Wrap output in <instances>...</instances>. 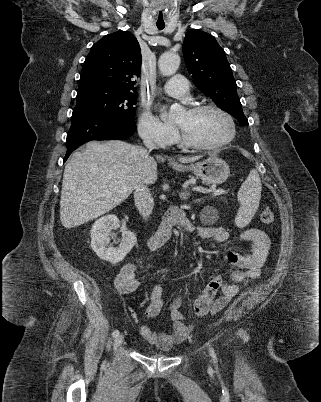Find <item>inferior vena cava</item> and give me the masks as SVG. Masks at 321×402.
Returning a JSON list of instances; mask_svg holds the SVG:
<instances>
[{"instance_id": "1", "label": "inferior vena cava", "mask_w": 321, "mask_h": 402, "mask_svg": "<svg viewBox=\"0 0 321 402\" xmlns=\"http://www.w3.org/2000/svg\"><path fill=\"white\" fill-rule=\"evenodd\" d=\"M143 143L149 151L156 149L155 144L148 138L144 139ZM134 201L141 216L147 220L152 214L154 200L146 184L138 183L135 186Z\"/></svg>"}]
</instances>
